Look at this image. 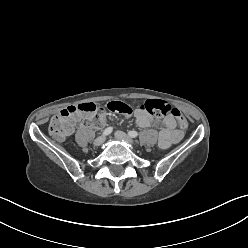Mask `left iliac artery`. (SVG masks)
Instances as JSON below:
<instances>
[{
	"mask_svg": "<svg viewBox=\"0 0 248 248\" xmlns=\"http://www.w3.org/2000/svg\"><path fill=\"white\" fill-rule=\"evenodd\" d=\"M128 135H129L130 137H132V138H135V137L138 136V133H137L136 131H129V132H128Z\"/></svg>",
	"mask_w": 248,
	"mask_h": 248,
	"instance_id": "44dca946",
	"label": "left iliac artery"
}]
</instances>
